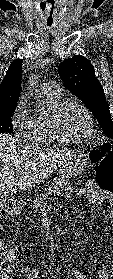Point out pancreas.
Returning <instances> with one entry per match:
<instances>
[{
	"label": "pancreas",
	"instance_id": "cf45deb5",
	"mask_svg": "<svg viewBox=\"0 0 113 279\" xmlns=\"http://www.w3.org/2000/svg\"><path fill=\"white\" fill-rule=\"evenodd\" d=\"M74 188L68 185V182L62 178H55L51 185L47 188L43 189L42 193L38 195L35 200L33 201L32 207L34 209H38L42 206L46 205L48 196L55 195V194H64L67 197H71Z\"/></svg>",
	"mask_w": 113,
	"mask_h": 279
}]
</instances>
